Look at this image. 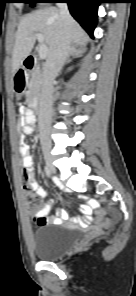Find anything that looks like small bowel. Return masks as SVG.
I'll return each instance as SVG.
<instances>
[{
	"label": "small bowel",
	"mask_w": 136,
	"mask_h": 296,
	"mask_svg": "<svg viewBox=\"0 0 136 296\" xmlns=\"http://www.w3.org/2000/svg\"><path fill=\"white\" fill-rule=\"evenodd\" d=\"M18 122L22 128L23 135H29L33 132L34 115L29 109H22V114L19 117ZM20 154L22 157L23 175L25 179L27 180V182L31 184L33 190L39 196L45 197L47 193L42 187H40L33 173L34 160L31 155L30 147L23 140H21L20 142ZM50 210H51V206L46 205L42 207L38 213L39 217L45 218V223L43 225L60 224L69 218L68 212L64 209L59 210L55 216L49 215ZM82 213H83L82 223L84 224L91 223L93 219L92 218L93 206L90 204H84L82 206ZM95 219L99 225L108 224L106 215L103 211H99V210L96 211Z\"/></svg>",
	"instance_id": "c3829d8e"
}]
</instances>
